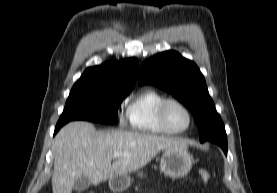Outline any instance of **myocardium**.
I'll use <instances>...</instances> for the list:
<instances>
[{"instance_id":"1","label":"myocardium","mask_w":277,"mask_h":193,"mask_svg":"<svg viewBox=\"0 0 277 193\" xmlns=\"http://www.w3.org/2000/svg\"><path fill=\"white\" fill-rule=\"evenodd\" d=\"M170 103L178 104L187 113L189 122H188V125L185 129H183V130H174L169 126V124L167 122V119H166V109H167V106ZM158 121H159V124H160L161 128L166 133L173 134V135H180V134L186 133L192 127V125H193V114H192L190 108L183 101H181L177 98H166L161 102V104L158 108Z\"/></svg>"}]
</instances>
